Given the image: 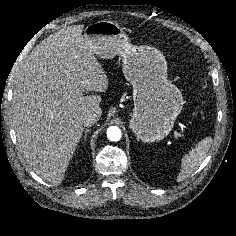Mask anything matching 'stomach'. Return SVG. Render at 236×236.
Segmentation results:
<instances>
[{"label": "stomach", "mask_w": 236, "mask_h": 236, "mask_svg": "<svg viewBox=\"0 0 236 236\" xmlns=\"http://www.w3.org/2000/svg\"><path fill=\"white\" fill-rule=\"evenodd\" d=\"M84 37L100 58L122 57L124 76L133 86L132 132L146 143L164 139L184 101L180 90L168 80L163 54L147 45H132L124 30L112 21L89 24Z\"/></svg>", "instance_id": "obj_1"}]
</instances>
